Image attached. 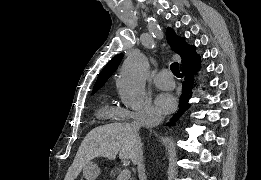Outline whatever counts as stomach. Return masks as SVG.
I'll list each match as a JSON object with an SVG mask.
<instances>
[{"instance_id":"0dacf381","label":"stomach","mask_w":261,"mask_h":180,"mask_svg":"<svg viewBox=\"0 0 261 180\" xmlns=\"http://www.w3.org/2000/svg\"><path fill=\"white\" fill-rule=\"evenodd\" d=\"M100 174L99 167L94 162H89L83 168V176L86 180H96Z\"/></svg>"}]
</instances>
